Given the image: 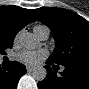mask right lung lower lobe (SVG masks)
<instances>
[{"mask_svg":"<svg viewBox=\"0 0 89 89\" xmlns=\"http://www.w3.org/2000/svg\"><path fill=\"white\" fill-rule=\"evenodd\" d=\"M26 73V67L21 63L13 61L10 65L0 71V88L15 89L21 76Z\"/></svg>","mask_w":89,"mask_h":89,"instance_id":"98d812e1","label":"right lung lower lobe"}]
</instances>
